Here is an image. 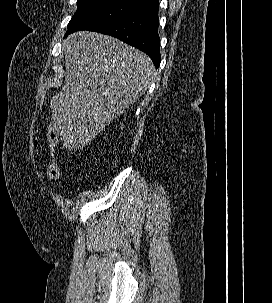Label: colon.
<instances>
[{
  "label": "colon",
  "instance_id": "1",
  "mask_svg": "<svg viewBox=\"0 0 272 303\" xmlns=\"http://www.w3.org/2000/svg\"><path fill=\"white\" fill-rule=\"evenodd\" d=\"M47 139H48L51 157L46 165L45 174L48 179L56 180L59 178L60 169H59V165L54 157V152H55V148L59 142V132H58L57 127L53 124H51L48 128Z\"/></svg>",
  "mask_w": 272,
  "mask_h": 303
}]
</instances>
